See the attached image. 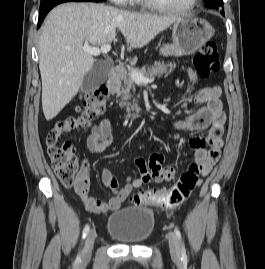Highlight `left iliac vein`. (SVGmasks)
I'll return each mask as SVG.
<instances>
[{"instance_id": "left-iliac-vein-1", "label": "left iliac vein", "mask_w": 265, "mask_h": 269, "mask_svg": "<svg viewBox=\"0 0 265 269\" xmlns=\"http://www.w3.org/2000/svg\"><path fill=\"white\" fill-rule=\"evenodd\" d=\"M168 243H169L171 257L176 261L180 260L181 249H180L179 241L175 234L173 233L168 234Z\"/></svg>"}]
</instances>
